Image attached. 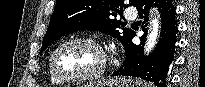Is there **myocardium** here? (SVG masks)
Wrapping results in <instances>:
<instances>
[{"label":"myocardium","instance_id":"f54148a6","mask_svg":"<svg viewBox=\"0 0 205 87\" xmlns=\"http://www.w3.org/2000/svg\"><path fill=\"white\" fill-rule=\"evenodd\" d=\"M72 43H86V44L93 46L100 52L102 60H101V64L99 68L96 71L89 73V74L71 76V75L63 74L62 72L58 70L57 64H56V58H57L59 51L63 47L69 44H72ZM49 65H50V70L52 74L60 81L68 82V83H71V82L84 83V82H90V81L97 80L104 74L106 67H107V56H106V53L102 45L96 39L92 37H87V36H77V37L66 39L65 41L61 42L53 50L50 60H49Z\"/></svg>","mask_w":205,"mask_h":87}]
</instances>
